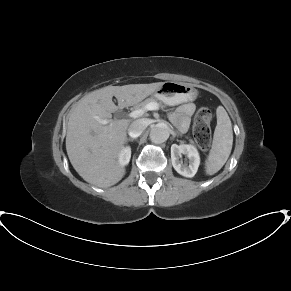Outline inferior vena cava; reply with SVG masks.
Listing matches in <instances>:
<instances>
[{
	"mask_svg": "<svg viewBox=\"0 0 291 291\" xmlns=\"http://www.w3.org/2000/svg\"><path fill=\"white\" fill-rule=\"evenodd\" d=\"M149 124H150V120L147 118L135 120L134 122L130 124L128 128L129 136L131 138L139 137Z\"/></svg>",
	"mask_w": 291,
	"mask_h": 291,
	"instance_id": "obj_1",
	"label": "inferior vena cava"
}]
</instances>
